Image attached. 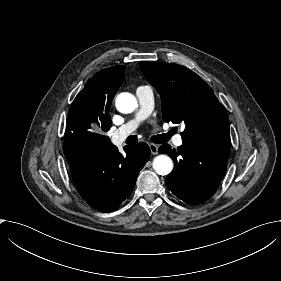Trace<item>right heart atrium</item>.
<instances>
[{
  "label": "right heart atrium",
  "instance_id": "d8ad5b80",
  "mask_svg": "<svg viewBox=\"0 0 281 281\" xmlns=\"http://www.w3.org/2000/svg\"><path fill=\"white\" fill-rule=\"evenodd\" d=\"M120 98V100H121V105L123 106V107H127V105H128V102H129V96H128V94H119L118 96H117V98H116V104H117V101H118V99Z\"/></svg>",
  "mask_w": 281,
  "mask_h": 281
}]
</instances>
